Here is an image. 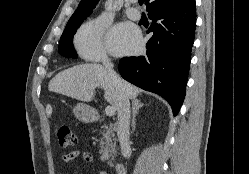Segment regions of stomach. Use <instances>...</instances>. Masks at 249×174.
<instances>
[{"label": "stomach", "instance_id": "obj_1", "mask_svg": "<svg viewBox=\"0 0 249 174\" xmlns=\"http://www.w3.org/2000/svg\"><path fill=\"white\" fill-rule=\"evenodd\" d=\"M77 119L82 122H90L94 116L93 109L86 104L78 103L73 110Z\"/></svg>", "mask_w": 249, "mask_h": 174}]
</instances>
